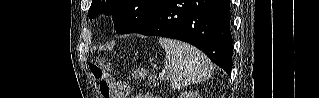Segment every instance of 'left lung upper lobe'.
<instances>
[{
	"mask_svg": "<svg viewBox=\"0 0 319 98\" xmlns=\"http://www.w3.org/2000/svg\"><path fill=\"white\" fill-rule=\"evenodd\" d=\"M162 0H93L88 11L90 19L113 14L117 34L135 32L145 25Z\"/></svg>",
	"mask_w": 319,
	"mask_h": 98,
	"instance_id": "1",
	"label": "left lung upper lobe"
}]
</instances>
